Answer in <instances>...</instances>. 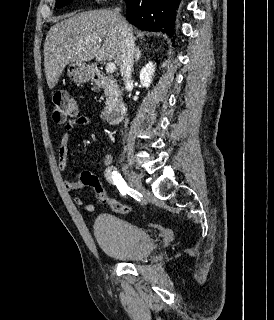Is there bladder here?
Instances as JSON below:
<instances>
[{"instance_id":"obj_1","label":"bladder","mask_w":274,"mask_h":320,"mask_svg":"<svg viewBox=\"0 0 274 320\" xmlns=\"http://www.w3.org/2000/svg\"><path fill=\"white\" fill-rule=\"evenodd\" d=\"M93 232L100 248L110 257L124 262H139L155 249L148 230L112 214H100Z\"/></svg>"}]
</instances>
